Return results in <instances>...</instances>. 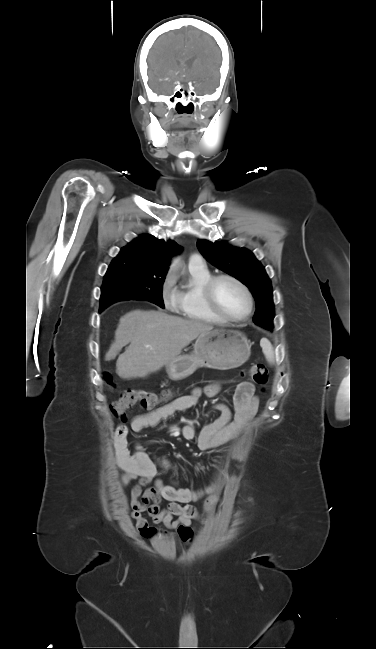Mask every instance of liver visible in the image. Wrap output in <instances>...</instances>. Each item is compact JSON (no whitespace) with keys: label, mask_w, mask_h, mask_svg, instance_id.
Masks as SVG:
<instances>
[{"label":"liver","mask_w":376,"mask_h":649,"mask_svg":"<svg viewBox=\"0 0 376 649\" xmlns=\"http://www.w3.org/2000/svg\"><path fill=\"white\" fill-rule=\"evenodd\" d=\"M213 326L197 320H186L163 311L134 310L120 318L115 340L105 360L115 359L116 373L122 379L143 378L179 356L201 333Z\"/></svg>","instance_id":"liver-1"}]
</instances>
